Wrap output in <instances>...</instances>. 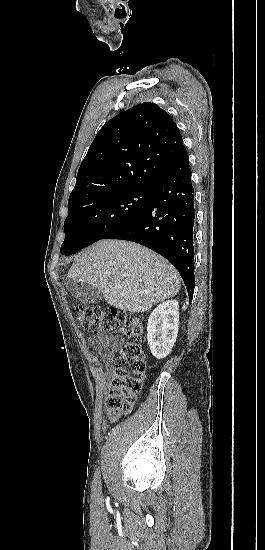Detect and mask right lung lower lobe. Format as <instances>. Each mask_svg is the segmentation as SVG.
<instances>
[{
	"label": "right lung lower lobe",
	"mask_w": 265,
	"mask_h": 550,
	"mask_svg": "<svg viewBox=\"0 0 265 550\" xmlns=\"http://www.w3.org/2000/svg\"><path fill=\"white\" fill-rule=\"evenodd\" d=\"M194 219V191L185 152L153 182L144 210L104 239L133 241L167 258L179 271L192 301Z\"/></svg>",
	"instance_id": "98d812e1"
}]
</instances>
